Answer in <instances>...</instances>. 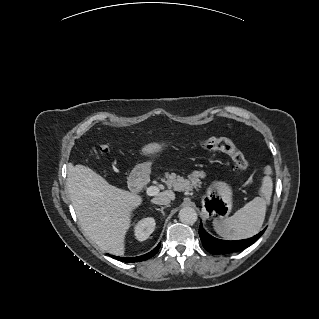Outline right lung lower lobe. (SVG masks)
<instances>
[{
    "mask_svg": "<svg viewBox=\"0 0 319 319\" xmlns=\"http://www.w3.org/2000/svg\"><path fill=\"white\" fill-rule=\"evenodd\" d=\"M160 243L150 252L144 254V255H141V256H137V257H126V258H123V257H118V256H112L113 258L117 259V260H120V261H123V262H140V261H144V260H147L151 257H153L159 250L160 248Z\"/></svg>",
    "mask_w": 319,
    "mask_h": 319,
    "instance_id": "obj_1",
    "label": "right lung lower lobe"
}]
</instances>
